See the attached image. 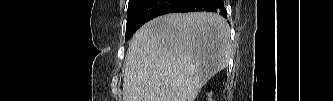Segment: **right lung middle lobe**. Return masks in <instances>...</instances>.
Returning a JSON list of instances; mask_svg holds the SVG:
<instances>
[{"instance_id":"right-lung-middle-lobe-1","label":"right lung middle lobe","mask_w":333,"mask_h":101,"mask_svg":"<svg viewBox=\"0 0 333 101\" xmlns=\"http://www.w3.org/2000/svg\"><path fill=\"white\" fill-rule=\"evenodd\" d=\"M143 1L144 0H129L128 11H127L126 36H125L126 41H128L131 38V36L134 34L132 27L133 19Z\"/></svg>"}]
</instances>
